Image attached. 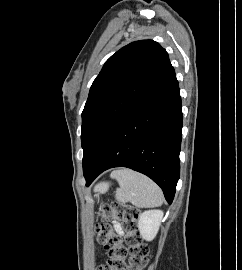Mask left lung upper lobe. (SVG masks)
<instances>
[{"label":"left lung upper lobe","instance_id":"obj_1","mask_svg":"<svg viewBox=\"0 0 242 270\" xmlns=\"http://www.w3.org/2000/svg\"><path fill=\"white\" fill-rule=\"evenodd\" d=\"M171 68L167 52L153 40L132 42L105 62L82 112L83 172L115 126L149 95Z\"/></svg>","mask_w":242,"mask_h":270}]
</instances>
